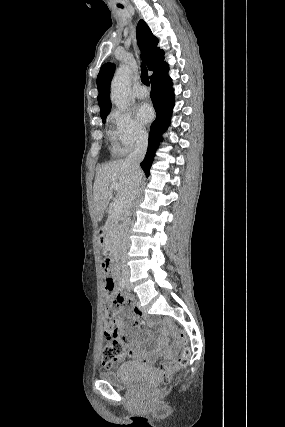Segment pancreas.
<instances>
[{
	"label": "pancreas",
	"instance_id": "pancreas-1",
	"mask_svg": "<svg viewBox=\"0 0 285 427\" xmlns=\"http://www.w3.org/2000/svg\"><path fill=\"white\" fill-rule=\"evenodd\" d=\"M114 219L118 218V215H113ZM118 231H119V225L117 223H114V220H111V222L108 225V232H107V242L110 246L116 243L118 239Z\"/></svg>",
	"mask_w": 285,
	"mask_h": 427
}]
</instances>
